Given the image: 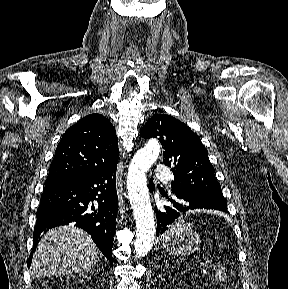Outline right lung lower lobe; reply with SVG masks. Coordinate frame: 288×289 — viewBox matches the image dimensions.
<instances>
[{"instance_id": "obj_1", "label": "right lung lower lobe", "mask_w": 288, "mask_h": 289, "mask_svg": "<svg viewBox=\"0 0 288 289\" xmlns=\"http://www.w3.org/2000/svg\"><path fill=\"white\" fill-rule=\"evenodd\" d=\"M116 170L117 163L90 174L45 184L36 215L33 251L43 232L75 223L91 235L113 266L112 247L118 206ZM31 259L32 253L28 267Z\"/></svg>"}]
</instances>
